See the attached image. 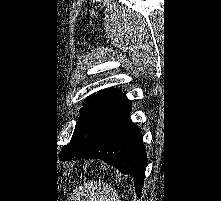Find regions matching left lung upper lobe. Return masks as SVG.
I'll return each instance as SVG.
<instances>
[{
  "label": "left lung upper lobe",
  "mask_w": 221,
  "mask_h": 201,
  "mask_svg": "<svg viewBox=\"0 0 221 201\" xmlns=\"http://www.w3.org/2000/svg\"><path fill=\"white\" fill-rule=\"evenodd\" d=\"M124 100L125 95L118 89L102 90L97 95L89 97L81 109L70 143L60 152V159L65 160L74 156L82 149L91 140L108 112Z\"/></svg>",
  "instance_id": "obj_1"
}]
</instances>
